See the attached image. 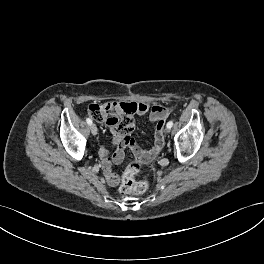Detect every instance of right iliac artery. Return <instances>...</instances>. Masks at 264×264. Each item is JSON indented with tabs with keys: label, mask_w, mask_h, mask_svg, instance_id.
Wrapping results in <instances>:
<instances>
[{
	"label": "right iliac artery",
	"mask_w": 264,
	"mask_h": 264,
	"mask_svg": "<svg viewBox=\"0 0 264 264\" xmlns=\"http://www.w3.org/2000/svg\"><path fill=\"white\" fill-rule=\"evenodd\" d=\"M86 122H87L89 125L92 124V120H91L90 118H87V119H86Z\"/></svg>",
	"instance_id": "82829eb1"
}]
</instances>
